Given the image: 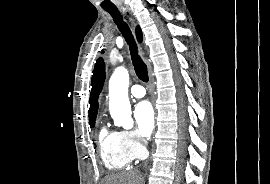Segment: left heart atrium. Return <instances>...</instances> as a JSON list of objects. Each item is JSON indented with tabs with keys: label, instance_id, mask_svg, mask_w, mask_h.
Returning <instances> with one entry per match:
<instances>
[{
	"label": "left heart atrium",
	"instance_id": "left-heart-atrium-1",
	"mask_svg": "<svg viewBox=\"0 0 270 184\" xmlns=\"http://www.w3.org/2000/svg\"><path fill=\"white\" fill-rule=\"evenodd\" d=\"M134 117L138 126L139 134L148 138L154 128V110L147 101L140 102L134 111Z\"/></svg>",
	"mask_w": 270,
	"mask_h": 184
}]
</instances>
